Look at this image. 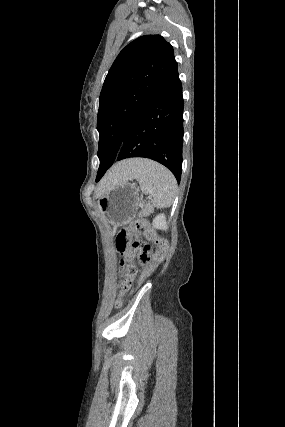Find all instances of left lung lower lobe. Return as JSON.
<instances>
[{
    "label": "left lung lower lobe",
    "mask_w": 285,
    "mask_h": 427,
    "mask_svg": "<svg viewBox=\"0 0 285 427\" xmlns=\"http://www.w3.org/2000/svg\"><path fill=\"white\" fill-rule=\"evenodd\" d=\"M183 108L182 84L176 65L130 123L115 160L150 158L170 169L180 182Z\"/></svg>",
    "instance_id": "obj_1"
}]
</instances>
